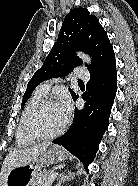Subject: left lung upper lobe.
Here are the masks:
<instances>
[{
	"label": "left lung upper lobe",
	"mask_w": 138,
	"mask_h": 186,
	"mask_svg": "<svg viewBox=\"0 0 138 186\" xmlns=\"http://www.w3.org/2000/svg\"><path fill=\"white\" fill-rule=\"evenodd\" d=\"M78 50L92 57V64L88 66L90 74L115 61L107 33L97 17L91 15L86 8H75L65 17L57 42L27 85L22 106L39 83L62 77L81 65L83 61L75 56ZM70 92L73 97L75 93L72 90Z\"/></svg>",
	"instance_id": "left-lung-upper-lobe-1"
}]
</instances>
